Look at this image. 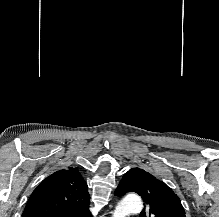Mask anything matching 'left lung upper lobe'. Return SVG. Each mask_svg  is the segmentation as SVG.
Here are the masks:
<instances>
[{
    "instance_id": "obj_1",
    "label": "left lung upper lobe",
    "mask_w": 219,
    "mask_h": 217,
    "mask_svg": "<svg viewBox=\"0 0 219 217\" xmlns=\"http://www.w3.org/2000/svg\"><path fill=\"white\" fill-rule=\"evenodd\" d=\"M136 192L145 207L139 217H185L179 197L164 182L140 168H132L124 174L115 190V196Z\"/></svg>"
}]
</instances>
